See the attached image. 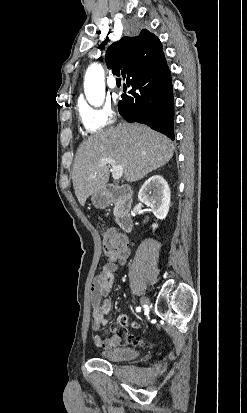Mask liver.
Masks as SVG:
<instances>
[{
    "label": "liver",
    "instance_id": "liver-1",
    "mask_svg": "<svg viewBox=\"0 0 247 413\" xmlns=\"http://www.w3.org/2000/svg\"><path fill=\"white\" fill-rule=\"evenodd\" d=\"M172 140L139 122H119L87 136L77 148L72 180L75 194L84 207L86 198L105 188L109 164L100 158H113L123 164L126 180H140L148 172L166 164L173 156Z\"/></svg>",
    "mask_w": 247,
    "mask_h": 413
}]
</instances>
